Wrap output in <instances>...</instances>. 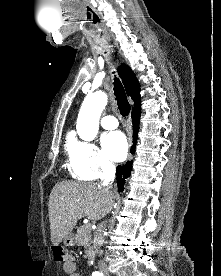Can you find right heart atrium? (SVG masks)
<instances>
[{
	"instance_id": "1",
	"label": "right heart atrium",
	"mask_w": 221,
	"mask_h": 276,
	"mask_svg": "<svg viewBox=\"0 0 221 276\" xmlns=\"http://www.w3.org/2000/svg\"><path fill=\"white\" fill-rule=\"evenodd\" d=\"M73 175L81 180H94L114 172L115 166L93 142L74 141L69 148Z\"/></svg>"
}]
</instances>
